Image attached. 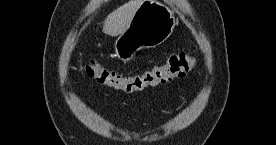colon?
<instances>
[{
	"mask_svg": "<svg viewBox=\"0 0 276 145\" xmlns=\"http://www.w3.org/2000/svg\"><path fill=\"white\" fill-rule=\"evenodd\" d=\"M195 64L196 57L192 52H176L171 54L166 62L140 73H120L108 69L93 60L83 65V71L87 77L102 86L131 94L183 77L192 70Z\"/></svg>",
	"mask_w": 276,
	"mask_h": 145,
	"instance_id": "5ec220e1",
	"label": "colon"
}]
</instances>
